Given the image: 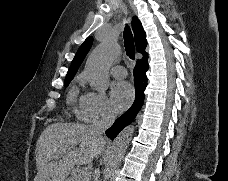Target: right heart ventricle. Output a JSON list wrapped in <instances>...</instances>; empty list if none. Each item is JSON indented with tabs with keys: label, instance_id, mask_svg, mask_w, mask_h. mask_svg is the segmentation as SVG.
Instances as JSON below:
<instances>
[{
	"label": "right heart ventricle",
	"instance_id": "e07e8e85",
	"mask_svg": "<svg viewBox=\"0 0 228 181\" xmlns=\"http://www.w3.org/2000/svg\"><path fill=\"white\" fill-rule=\"evenodd\" d=\"M89 74V73H88ZM87 80H90L92 82V79L89 74V78L86 73H78L73 80L72 88L70 90V99H74L78 93V86H83L87 82Z\"/></svg>",
	"mask_w": 228,
	"mask_h": 181
}]
</instances>
